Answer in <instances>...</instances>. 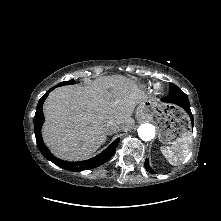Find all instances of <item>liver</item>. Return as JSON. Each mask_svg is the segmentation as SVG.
I'll list each match as a JSON object with an SVG mask.
<instances>
[{"mask_svg": "<svg viewBox=\"0 0 221 221\" xmlns=\"http://www.w3.org/2000/svg\"><path fill=\"white\" fill-rule=\"evenodd\" d=\"M145 98L138 85L122 75L56 88L44 103L43 139L61 159H86L106 141L108 121L120 129L133 126L131 115Z\"/></svg>", "mask_w": 221, "mask_h": 221, "instance_id": "6515ba94", "label": "liver"}]
</instances>
